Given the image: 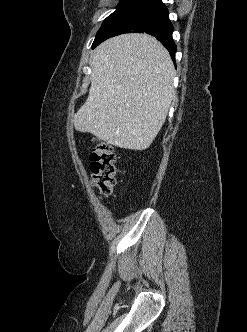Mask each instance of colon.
I'll list each match as a JSON object with an SVG mask.
<instances>
[{
    "mask_svg": "<svg viewBox=\"0 0 247 332\" xmlns=\"http://www.w3.org/2000/svg\"><path fill=\"white\" fill-rule=\"evenodd\" d=\"M90 161L92 182L102 196L110 195L118 173L117 156L112 146L107 142L94 140Z\"/></svg>",
    "mask_w": 247,
    "mask_h": 332,
    "instance_id": "colon-1",
    "label": "colon"
}]
</instances>
